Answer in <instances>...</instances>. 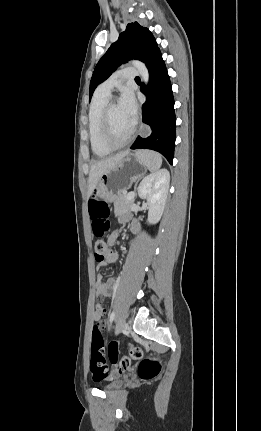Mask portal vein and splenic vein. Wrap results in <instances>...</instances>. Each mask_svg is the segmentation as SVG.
Here are the masks:
<instances>
[{
	"label": "portal vein and splenic vein",
	"mask_w": 261,
	"mask_h": 431,
	"mask_svg": "<svg viewBox=\"0 0 261 431\" xmlns=\"http://www.w3.org/2000/svg\"><path fill=\"white\" fill-rule=\"evenodd\" d=\"M134 196H135V193H134V192H130V193L128 194L127 200H131V199H133V198H134Z\"/></svg>",
	"instance_id": "1"
}]
</instances>
